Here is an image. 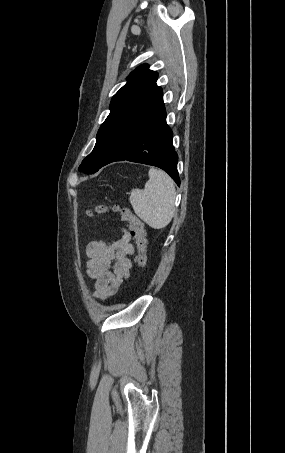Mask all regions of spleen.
Here are the masks:
<instances>
[{"mask_svg": "<svg viewBox=\"0 0 285 453\" xmlns=\"http://www.w3.org/2000/svg\"><path fill=\"white\" fill-rule=\"evenodd\" d=\"M144 189H132L129 201L136 215L153 229L165 228L172 220L176 196L170 176L150 168Z\"/></svg>", "mask_w": 285, "mask_h": 453, "instance_id": "3e777b00", "label": "spleen"}]
</instances>
